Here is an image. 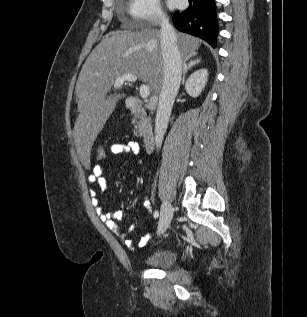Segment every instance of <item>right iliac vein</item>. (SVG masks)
Returning a JSON list of instances; mask_svg holds the SVG:
<instances>
[{
	"label": "right iliac vein",
	"mask_w": 307,
	"mask_h": 317,
	"mask_svg": "<svg viewBox=\"0 0 307 317\" xmlns=\"http://www.w3.org/2000/svg\"><path fill=\"white\" fill-rule=\"evenodd\" d=\"M173 215V209L169 202L165 201L161 208L160 220L158 224V234H163L169 227Z\"/></svg>",
	"instance_id": "63e3f726"
}]
</instances>
